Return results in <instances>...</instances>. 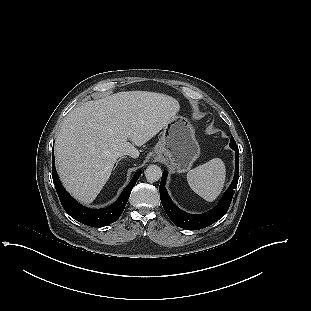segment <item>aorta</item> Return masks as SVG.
I'll use <instances>...</instances> for the list:
<instances>
[{"mask_svg": "<svg viewBox=\"0 0 311 311\" xmlns=\"http://www.w3.org/2000/svg\"><path fill=\"white\" fill-rule=\"evenodd\" d=\"M145 177L149 182H156L162 177V170L157 165H149L145 170Z\"/></svg>", "mask_w": 311, "mask_h": 311, "instance_id": "762f6f07", "label": "aorta"}]
</instances>
